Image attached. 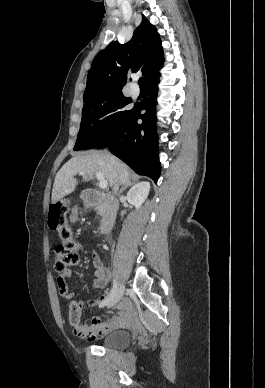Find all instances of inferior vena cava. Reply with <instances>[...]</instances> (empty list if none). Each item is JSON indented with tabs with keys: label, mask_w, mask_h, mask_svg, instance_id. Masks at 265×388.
<instances>
[{
	"label": "inferior vena cava",
	"mask_w": 265,
	"mask_h": 388,
	"mask_svg": "<svg viewBox=\"0 0 265 388\" xmlns=\"http://www.w3.org/2000/svg\"><path fill=\"white\" fill-rule=\"evenodd\" d=\"M117 190H118V184H115V188H114L115 194H117Z\"/></svg>",
	"instance_id": "inferior-vena-cava-1"
}]
</instances>
